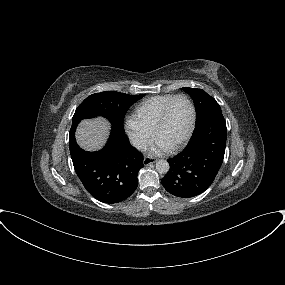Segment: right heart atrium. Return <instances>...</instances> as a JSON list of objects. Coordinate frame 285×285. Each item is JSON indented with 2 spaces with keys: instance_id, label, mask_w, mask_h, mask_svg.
I'll list each match as a JSON object with an SVG mask.
<instances>
[{
  "instance_id": "1",
  "label": "right heart atrium",
  "mask_w": 285,
  "mask_h": 285,
  "mask_svg": "<svg viewBox=\"0 0 285 285\" xmlns=\"http://www.w3.org/2000/svg\"><path fill=\"white\" fill-rule=\"evenodd\" d=\"M125 132L135 148L145 150L153 137V130L143 125L133 116L124 122Z\"/></svg>"
}]
</instances>
